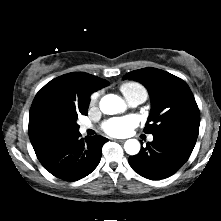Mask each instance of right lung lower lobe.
Listing matches in <instances>:
<instances>
[{"label":"right lung lower lobe","instance_id":"right-lung-lower-lobe-1","mask_svg":"<svg viewBox=\"0 0 221 221\" xmlns=\"http://www.w3.org/2000/svg\"><path fill=\"white\" fill-rule=\"evenodd\" d=\"M80 136L78 132L63 138L38 158L44 168L66 181H77L89 175L99 164L102 146L108 139L99 135L85 139Z\"/></svg>","mask_w":221,"mask_h":221}]
</instances>
